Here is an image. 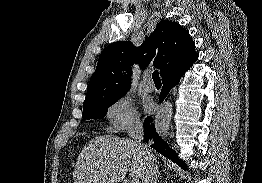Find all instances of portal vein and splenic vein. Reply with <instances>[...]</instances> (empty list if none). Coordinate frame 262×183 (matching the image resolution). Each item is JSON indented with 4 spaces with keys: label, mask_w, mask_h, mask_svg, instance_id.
Returning a JSON list of instances; mask_svg holds the SVG:
<instances>
[{
    "label": "portal vein and splenic vein",
    "mask_w": 262,
    "mask_h": 183,
    "mask_svg": "<svg viewBox=\"0 0 262 183\" xmlns=\"http://www.w3.org/2000/svg\"><path fill=\"white\" fill-rule=\"evenodd\" d=\"M131 183H138V179L133 177V178L131 179Z\"/></svg>",
    "instance_id": "18ae733b"
}]
</instances>
